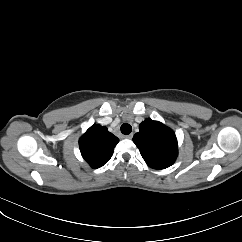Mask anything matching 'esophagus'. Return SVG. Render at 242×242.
Returning a JSON list of instances; mask_svg holds the SVG:
<instances>
[{
    "label": "esophagus",
    "mask_w": 242,
    "mask_h": 242,
    "mask_svg": "<svg viewBox=\"0 0 242 242\" xmlns=\"http://www.w3.org/2000/svg\"><path fill=\"white\" fill-rule=\"evenodd\" d=\"M126 139H132L133 138V133L129 134V135H126L125 136Z\"/></svg>",
    "instance_id": "1"
}]
</instances>
